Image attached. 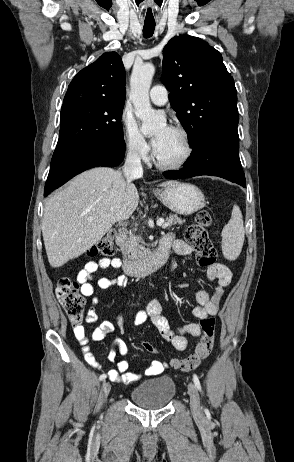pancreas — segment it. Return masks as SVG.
Wrapping results in <instances>:
<instances>
[{"label":"pancreas","mask_w":294,"mask_h":462,"mask_svg":"<svg viewBox=\"0 0 294 462\" xmlns=\"http://www.w3.org/2000/svg\"><path fill=\"white\" fill-rule=\"evenodd\" d=\"M166 221L167 225H163V228H167L176 224H182L184 222L180 217H178L177 214H170ZM144 245L145 244L141 236L130 232L129 238L127 239L123 248L124 254L132 260L145 258L147 249Z\"/></svg>","instance_id":"cf45deb5"}]
</instances>
